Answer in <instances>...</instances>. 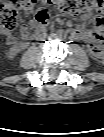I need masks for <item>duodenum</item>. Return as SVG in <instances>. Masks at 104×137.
I'll use <instances>...</instances> for the list:
<instances>
[{
    "instance_id": "obj_1",
    "label": "duodenum",
    "mask_w": 104,
    "mask_h": 137,
    "mask_svg": "<svg viewBox=\"0 0 104 137\" xmlns=\"http://www.w3.org/2000/svg\"><path fill=\"white\" fill-rule=\"evenodd\" d=\"M42 33H43L42 29L41 28H37L36 30H34L32 35L35 38V37H39L40 35H42Z\"/></svg>"
}]
</instances>
